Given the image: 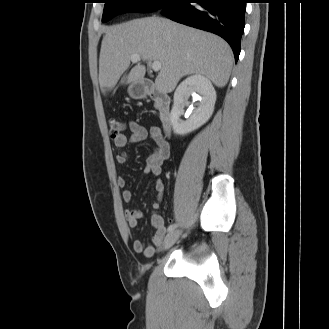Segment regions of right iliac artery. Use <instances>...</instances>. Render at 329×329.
Listing matches in <instances>:
<instances>
[{
  "label": "right iliac artery",
  "mask_w": 329,
  "mask_h": 329,
  "mask_svg": "<svg viewBox=\"0 0 329 329\" xmlns=\"http://www.w3.org/2000/svg\"><path fill=\"white\" fill-rule=\"evenodd\" d=\"M177 227V224H172L167 228V232H172Z\"/></svg>",
  "instance_id": "right-iliac-artery-1"
}]
</instances>
